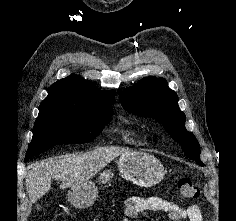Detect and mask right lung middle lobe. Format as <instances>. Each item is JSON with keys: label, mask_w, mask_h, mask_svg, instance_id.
Masks as SVG:
<instances>
[{"label": "right lung middle lobe", "mask_w": 236, "mask_h": 221, "mask_svg": "<svg viewBox=\"0 0 236 221\" xmlns=\"http://www.w3.org/2000/svg\"><path fill=\"white\" fill-rule=\"evenodd\" d=\"M112 114L111 105H40L25 159H30L58 144L90 142L110 121Z\"/></svg>", "instance_id": "dd1d6c3e"}]
</instances>
